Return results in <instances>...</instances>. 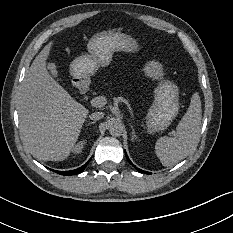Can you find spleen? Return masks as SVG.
I'll use <instances>...</instances> for the list:
<instances>
[{
	"label": "spleen",
	"instance_id": "1",
	"mask_svg": "<svg viewBox=\"0 0 233 233\" xmlns=\"http://www.w3.org/2000/svg\"><path fill=\"white\" fill-rule=\"evenodd\" d=\"M201 100L196 92L190 106L176 128V136L160 137L155 145V153L164 166H173L184 159L194 149L201 132Z\"/></svg>",
	"mask_w": 233,
	"mask_h": 233
}]
</instances>
